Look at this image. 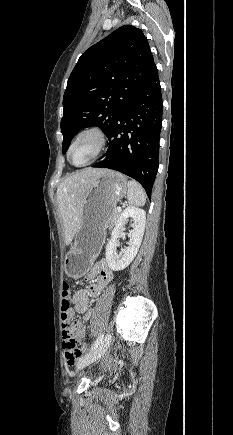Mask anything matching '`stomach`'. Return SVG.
I'll use <instances>...</instances> for the list:
<instances>
[{
  "instance_id": "stomach-1",
  "label": "stomach",
  "mask_w": 233,
  "mask_h": 435,
  "mask_svg": "<svg viewBox=\"0 0 233 435\" xmlns=\"http://www.w3.org/2000/svg\"><path fill=\"white\" fill-rule=\"evenodd\" d=\"M127 188V178L116 171L107 170L95 180L83 206L80 227L65 256L68 276L79 279L87 273L101 248L110 216Z\"/></svg>"
}]
</instances>
